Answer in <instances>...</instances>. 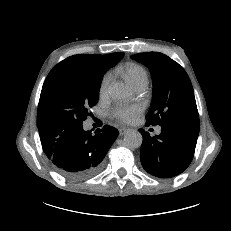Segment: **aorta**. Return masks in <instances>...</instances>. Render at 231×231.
<instances>
[{"label":"aorta","instance_id":"obj_1","mask_svg":"<svg viewBox=\"0 0 231 231\" xmlns=\"http://www.w3.org/2000/svg\"><path fill=\"white\" fill-rule=\"evenodd\" d=\"M109 93L115 100L125 101L129 97V89L123 83H114L109 88ZM143 138L139 131L130 129L124 135V143L130 149L139 148L142 144Z\"/></svg>","mask_w":231,"mask_h":231}]
</instances>
